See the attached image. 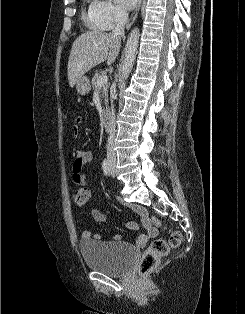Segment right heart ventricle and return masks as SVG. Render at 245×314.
Returning <instances> with one entry per match:
<instances>
[{"instance_id":"obj_1","label":"right heart ventricle","mask_w":245,"mask_h":314,"mask_svg":"<svg viewBox=\"0 0 245 314\" xmlns=\"http://www.w3.org/2000/svg\"><path fill=\"white\" fill-rule=\"evenodd\" d=\"M83 19L89 23V24H92V17H91V11H90V8L88 11H84L83 12Z\"/></svg>"}]
</instances>
